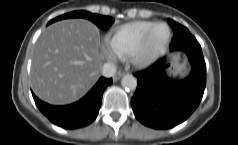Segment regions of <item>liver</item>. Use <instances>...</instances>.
Wrapping results in <instances>:
<instances>
[{"label":"liver","instance_id":"1","mask_svg":"<svg viewBox=\"0 0 238 145\" xmlns=\"http://www.w3.org/2000/svg\"><path fill=\"white\" fill-rule=\"evenodd\" d=\"M104 54L98 28L85 19L56 22L40 35L30 74L33 92L53 104H70L94 85Z\"/></svg>","mask_w":238,"mask_h":145}]
</instances>
